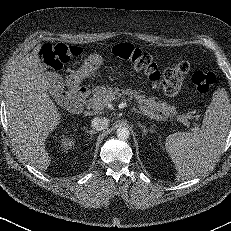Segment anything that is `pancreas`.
I'll return each mask as SVG.
<instances>
[{
	"label": "pancreas",
	"instance_id": "1",
	"mask_svg": "<svg viewBox=\"0 0 231 231\" xmlns=\"http://www.w3.org/2000/svg\"><path fill=\"white\" fill-rule=\"evenodd\" d=\"M125 96H128V100L134 99L142 113L150 118L165 121L167 119H174L175 117L179 119L181 117L177 115L176 108L167 102L157 101L155 97L140 95L139 92L131 89L112 88L108 85L94 87L92 96L87 100V104L91 106L92 104L99 103V105L104 108L114 100L117 101L120 98L125 100ZM182 116L186 119L193 117L192 113H187Z\"/></svg>",
	"mask_w": 231,
	"mask_h": 231
}]
</instances>
